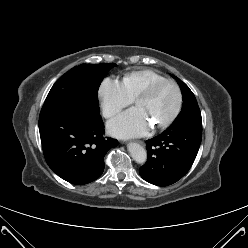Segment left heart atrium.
<instances>
[{
    "instance_id": "left-heart-atrium-1",
    "label": "left heart atrium",
    "mask_w": 248,
    "mask_h": 248,
    "mask_svg": "<svg viewBox=\"0 0 248 248\" xmlns=\"http://www.w3.org/2000/svg\"><path fill=\"white\" fill-rule=\"evenodd\" d=\"M150 121L139 107H133L108 123V131L119 138H131L147 133Z\"/></svg>"
}]
</instances>
